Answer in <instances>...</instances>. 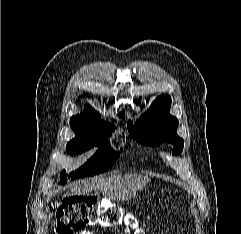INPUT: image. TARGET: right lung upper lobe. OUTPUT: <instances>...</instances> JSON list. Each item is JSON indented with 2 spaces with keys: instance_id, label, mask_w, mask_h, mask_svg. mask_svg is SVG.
Listing matches in <instances>:
<instances>
[{
  "instance_id": "right-lung-upper-lobe-1",
  "label": "right lung upper lobe",
  "mask_w": 241,
  "mask_h": 234,
  "mask_svg": "<svg viewBox=\"0 0 241 234\" xmlns=\"http://www.w3.org/2000/svg\"><path fill=\"white\" fill-rule=\"evenodd\" d=\"M98 113L93 109L87 108L84 113H80L76 116L71 117L70 125L79 130H90V131H111L113 128L112 124L99 120ZM122 117V113L119 114Z\"/></svg>"
}]
</instances>
